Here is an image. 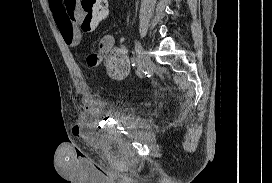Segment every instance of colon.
Masks as SVG:
<instances>
[{
  "mask_svg": "<svg viewBox=\"0 0 272 183\" xmlns=\"http://www.w3.org/2000/svg\"><path fill=\"white\" fill-rule=\"evenodd\" d=\"M67 20L73 22L78 14V26L83 32L94 30L108 15L107 0H67ZM98 63V55L91 54L88 64L95 66Z\"/></svg>",
  "mask_w": 272,
  "mask_h": 183,
  "instance_id": "colon-1",
  "label": "colon"
}]
</instances>
